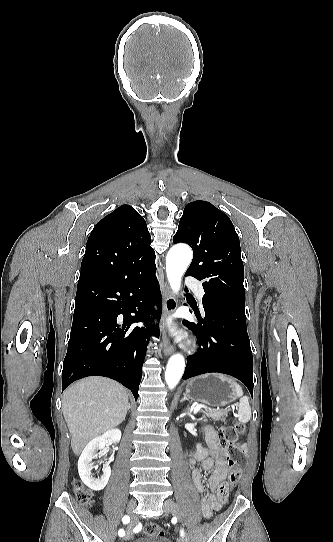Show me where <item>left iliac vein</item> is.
Instances as JSON below:
<instances>
[{"label":"left iliac vein","instance_id":"4c4485c4","mask_svg":"<svg viewBox=\"0 0 333 542\" xmlns=\"http://www.w3.org/2000/svg\"><path fill=\"white\" fill-rule=\"evenodd\" d=\"M164 509L166 513H172L177 518H181V511L177 505V503L173 500H166L164 502ZM178 542H190L187 537L181 538Z\"/></svg>","mask_w":333,"mask_h":542}]
</instances>
